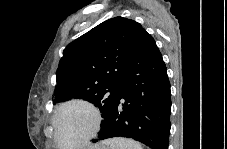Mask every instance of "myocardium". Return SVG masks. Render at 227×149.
<instances>
[{
  "mask_svg": "<svg viewBox=\"0 0 227 149\" xmlns=\"http://www.w3.org/2000/svg\"><path fill=\"white\" fill-rule=\"evenodd\" d=\"M71 106H82L88 109L93 118V124L90 132L79 142L72 143V144H61L58 139V132H57V122L58 117L63 110ZM102 123V116L100 110L91 102L83 99H72L62 103L55 111L53 118H52V127H53V140L57 146H64V147H81L87 145L98 133Z\"/></svg>",
  "mask_w": 227,
  "mask_h": 149,
  "instance_id": "f54148a6",
  "label": "myocardium"
}]
</instances>
